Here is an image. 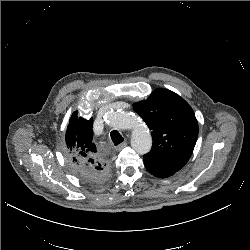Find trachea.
I'll list each match as a JSON object with an SVG mask.
<instances>
[{
  "instance_id": "trachea-1",
  "label": "trachea",
  "mask_w": 250,
  "mask_h": 250,
  "mask_svg": "<svg viewBox=\"0 0 250 250\" xmlns=\"http://www.w3.org/2000/svg\"><path fill=\"white\" fill-rule=\"evenodd\" d=\"M110 137H111L112 142L114 143L115 146L120 144L124 140L123 137L121 136V134L117 130H113L110 133Z\"/></svg>"
}]
</instances>
